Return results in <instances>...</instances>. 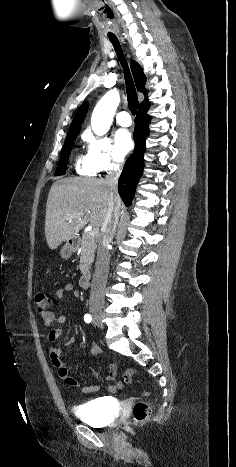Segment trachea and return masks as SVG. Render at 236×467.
I'll return each instance as SVG.
<instances>
[{
	"label": "trachea",
	"mask_w": 236,
	"mask_h": 467,
	"mask_svg": "<svg viewBox=\"0 0 236 467\" xmlns=\"http://www.w3.org/2000/svg\"><path fill=\"white\" fill-rule=\"evenodd\" d=\"M109 39H110L111 43L113 44L114 49H115V51L117 53L118 59H119L121 65L123 67V72H124V75H125L128 106H129V110L131 111V113L133 115H135L136 112H137V109H138V98H137V94H136L135 85H134L133 79H132L131 74H130V70L128 68L126 59H125V57L123 55V52H122V49H121V46H120V43H119L118 39L116 37H110Z\"/></svg>",
	"instance_id": "1"
}]
</instances>
